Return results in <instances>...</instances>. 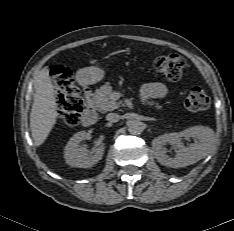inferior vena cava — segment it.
<instances>
[{
	"label": "inferior vena cava",
	"mask_w": 234,
	"mask_h": 231,
	"mask_svg": "<svg viewBox=\"0 0 234 231\" xmlns=\"http://www.w3.org/2000/svg\"><path fill=\"white\" fill-rule=\"evenodd\" d=\"M106 120L112 123L118 122L120 120V115L117 113H108L106 115Z\"/></svg>",
	"instance_id": "inferior-vena-cava-1"
}]
</instances>
